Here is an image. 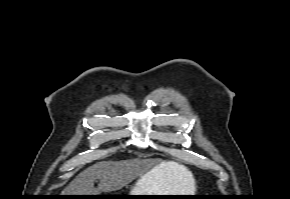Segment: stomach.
<instances>
[{"instance_id": "stomach-1", "label": "stomach", "mask_w": 290, "mask_h": 199, "mask_svg": "<svg viewBox=\"0 0 290 199\" xmlns=\"http://www.w3.org/2000/svg\"><path fill=\"white\" fill-rule=\"evenodd\" d=\"M158 169L154 168L143 175L131 189L128 195H173L166 190L164 182L158 176ZM131 199H142L143 196H131Z\"/></svg>"}]
</instances>
